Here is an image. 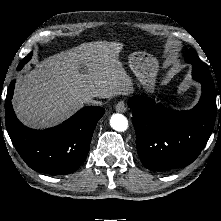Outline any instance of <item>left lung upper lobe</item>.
<instances>
[{
    "label": "left lung upper lobe",
    "mask_w": 221,
    "mask_h": 221,
    "mask_svg": "<svg viewBox=\"0 0 221 221\" xmlns=\"http://www.w3.org/2000/svg\"><path fill=\"white\" fill-rule=\"evenodd\" d=\"M186 62L192 63V64H200L203 65L199 57L197 56L196 52L194 49L187 50V55L185 58Z\"/></svg>",
    "instance_id": "obj_1"
}]
</instances>
